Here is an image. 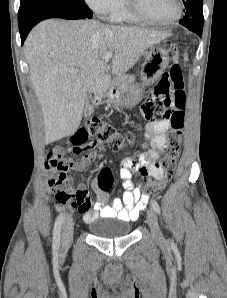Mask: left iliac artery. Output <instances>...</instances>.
<instances>
[{
	"instance_id": "left-iliac-artery-1",
	"label": "left iliac artery",
	"mask_w": 227,
	"mask_h": 298,
	"mask_svg": "<svg viewBox=\"0 0 227 298\" xmlns=\"http://www.w3.org/2000/svg\"><path fill=\"white\" fill-rule=\"evenodd\" d=\"M151 204H152V207H153L154 211H155L157 214H160L161 209H160L159 204H158L155 200L151 201Z\"/></svg>"
}]
</instances>
